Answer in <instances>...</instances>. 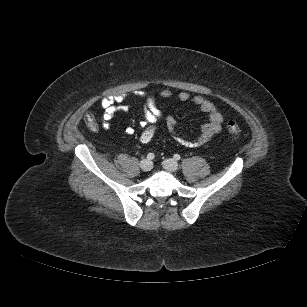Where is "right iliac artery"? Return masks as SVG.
<instances>
[{"instance_id": "1", "label": "right iliac artery", "mask_w": 307, "mask_h": 307, "mask_svg": "<svg viewBox=\"0 0 307 307\" xmlns=\"http://www.w3.org/2000/svg\"><path fill=\"white\" fill-rule=\"evenodd\" d=\"M154 157H155L154 153H148V155H147L148 160H153Z\"/></svg>"}]
</instances>
